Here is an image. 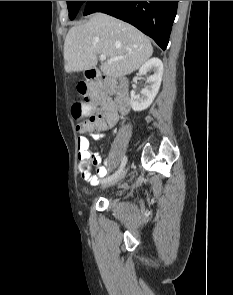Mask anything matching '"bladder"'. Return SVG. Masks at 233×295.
<instances>
[{"instance_id":"bladder-1","label":"bladder","mask_w":233,"mask_h":295,"mask_svg":"<svg viewBox=\"0 0 233 295\" xmlns=\"http://www.w3.org/2000/svg\"><path fill=\"white\" fill-rule=\"evenodd\" d=\"M83 190H84L85 192L87 191V189H86V188H84Z\"/></svg>"}]
</instances>
